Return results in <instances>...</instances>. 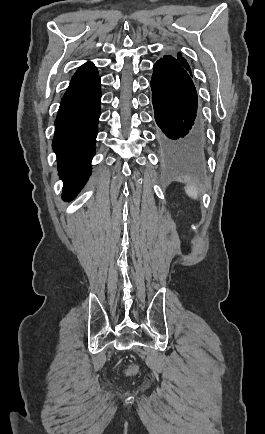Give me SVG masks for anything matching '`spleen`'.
Returning a JSON list of instances; mask_svg holds the SVG:
<instances>
[{
    "instance_id": "obj_1",
    "label": "spleen",
    "mask_w": 265,
    "mask_h": 434,
    "mask_svg": "<svg viewBox=\"0 0 265 434\" xmlns=\"http://www.w3.org/2000/svg\"><path fill=\"white\" fill-rule=\"evenodd\" d=\"M185 192L187 196H189V198H193V200H197L198 192L196 188H194V186H187V188H185Z\"/></svg>"
}]
</instances>
